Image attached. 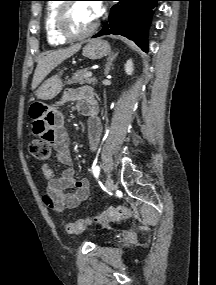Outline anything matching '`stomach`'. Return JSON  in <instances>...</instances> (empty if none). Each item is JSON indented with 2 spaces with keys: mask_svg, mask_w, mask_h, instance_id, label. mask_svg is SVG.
<instances>
[{
  "mask_svg": "<svg viewBox=\"0 0 216 285\" xmlns=\"http://www.w3.org/2000/svg\"><path fill=\"white\" fill-rule=\"evenodd\" d=\"M111 51L110 45L107 41L101 39L90 40L83 48V56L97 60L106 55ZM63 83L58 75L52 76L47 79L37 90L36 96L38 99L50 100L56 97L62 90Z\"/></svg>",
  "mask_w": 216,
  "mask_h": 285,
  "instance_id": "obj_1",
  "label": "stomach"
}]
</instances>
